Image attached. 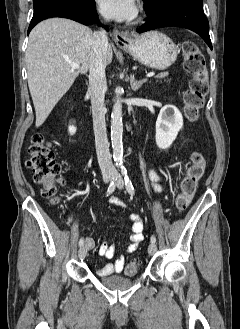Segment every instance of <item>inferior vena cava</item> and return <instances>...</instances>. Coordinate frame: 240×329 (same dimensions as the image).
<instances>
[{
	"mask_svg": "<svg viewBox=\"0 0 240 329\" xmlns=\"http://www.w3.org/2000/svg\"><path fill=\"white\" fill-rule=\"evenodd\" d=\"M108 47L107 32H95L92 37L89 58V88L93 117V129L98 163L103 175H112L115 168L109 152V143L106 134L104 97L107 89L105 68L106 51Z\"/></svg>",
	"mask_w": 240,
	"mask_h": 329,
	"instance_id": "inferior-vena-cava-1",
	"label": "inferior vena cava"
}]
</instances>
